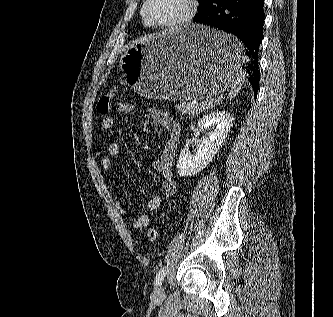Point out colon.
I'll list each match as a JSON object with an SVG mask.
<instances>
[{
	"instance_id": "colon-1",
	"label": "colon",
	"mask_w": 333,
	"mask_h": 317,
	"mask_svg": "<svg viewBox=\"0 0 333 317\" xmlns=\"http://www.w3.org/2000/svg\"><path fill=\"white\" fill-rule=\"evenodd\" d=\"M116 91L111 90L99 98L98 104H97V111L101 115H106L109 113L111 109V105L113 103L114 97H115ZM146 235L149 241L155 242L158 238V233L156 229L154 228H148L146 231Z\"/></svg>"
}]
</instances>
